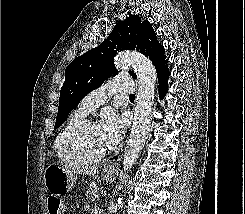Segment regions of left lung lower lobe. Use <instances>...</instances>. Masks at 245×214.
Here are the masks:
<instances>
[{
    "instance_id": "obj_1",
    "label": "left lung lower lobe",
    "mask_w": 245,
    "mask_h": 214,
    "mask_svg": "<svg viewBox=\"0 0 245 214\" xmlns=\"http://www.w3.org/2000/svg\"><path fill=\"white\" fill-rule=\"evenodd\" d=\"M170 73L168 68H164L160 74L157 75L158 81H159V95L161 98H163L168 90L167 87V80ZM117 159V157H115Z\"/></svg>"
}]
</instances>
